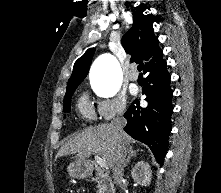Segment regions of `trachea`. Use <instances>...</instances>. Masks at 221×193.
<instances>
[{"label":"trachea","mask_w":221,"mask_h":193,"mask_svg":"<svg viewBox=\"0 0 221 193\" xmlns=\"http://www.w3.org/2000/svg\"><path fill=\"white\" fill-rule=\"evenodd\" d=\"M137 69H138L139 72H141V71H142V66H141V65H138V66H137Z\"/></svg>","instance_id":"1"}]
</instances>
